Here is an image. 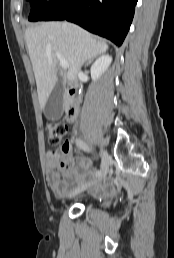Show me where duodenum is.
<instances>
[{
  "instance_id": "duodenum-1",
  "label": "duodenum",
  "mask_w": 174,
  "mask_h": 258,
  "mask_svg": "<svg viewBox=\"0 0 174 258\" xmlns=\"http://www.w3.org/2000/svg\"><path fill=\"white\" fill-rule=\"evenodd\" d=\"M79 112V94L76 87H68L67 89V118L73 122Z\"/></svg>"
}]
</instances>
